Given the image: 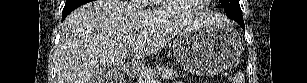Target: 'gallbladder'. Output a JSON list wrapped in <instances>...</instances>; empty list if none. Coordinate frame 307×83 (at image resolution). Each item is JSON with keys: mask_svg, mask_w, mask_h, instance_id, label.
Returning a JSON list of instances; mask_svg holds the SVG:
<instances>
[{"mask_svg": "<svg viewBox=\"0 0 307 83\" xmlns=\"http://www.w3.org/2000/svg\"><path fill=\"white\" fill-rule=\"evenodd\" d=\"M122 75L118 68L100 67L94 72L93 80L95 83H119Z\"/></svg>", "mask_w": 307, "mask_h": 83, "instance_id": "gallbladder-1", "label": "gallbladder"}]
</instances>
